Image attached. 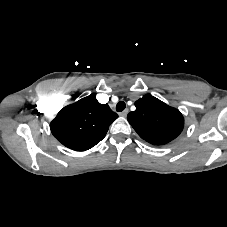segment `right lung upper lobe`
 <instances>
[{"label":"right lung upper lobe","instance_id":"right-lung-upper-lobe-1","mask_svg":"<svg viewBox=\"0 0 227 227\" xmlns=\"http://www.w3.org/2000/svg\"><path fill=\"white\" fill-rule=\"evenodd\" d=\"M117 117L108 104H100L91 94L61 109L50 123V129L64 146L84 151L105 137Z\"/></svg>","mask_w":227,"mask_h":227}]
</instances>
